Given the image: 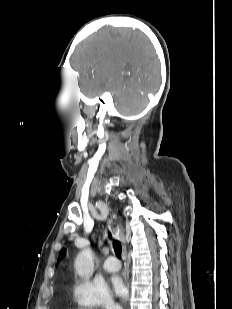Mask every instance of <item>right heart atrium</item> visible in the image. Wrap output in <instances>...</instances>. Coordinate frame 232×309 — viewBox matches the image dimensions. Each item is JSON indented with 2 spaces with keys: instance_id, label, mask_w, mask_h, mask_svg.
Segmentation results:
<instances>
[{
  "instance_id": "d8ad5b80",
  "label": "right heart atrium",
  "mask_w": 232,
  "mask_h": 309,
  "mask_svg": "<svg viewBox=\"0 0 232 309\" xmlns=\"http://www.w3.org/2000/svg\"><path fill=\"white\" fill-rule=\"evenodd\" d=\"M72 294L80 307L117 309L106 287L91 281H76L73 285Z\"/></svg>"
}]
</instances>
